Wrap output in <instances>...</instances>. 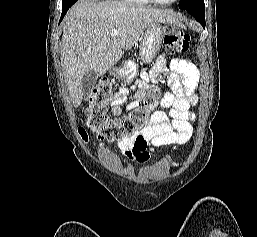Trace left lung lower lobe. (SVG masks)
<instances>
[{"instance_id": "0a47b994", "label": "left lung lower lobe", "mask_w": 257, "mask_h": 237, "mask_svg": "<svg viewBox=\"0 0 257 237\" xmlns=\"http://www.w3.org/2000/svg\"><path fill=\"white\" fill-rule=\"evenodd\" d=\"M202 26L205 28V16L204 13L188 11Z\"/></svg>"}]
</instances>
